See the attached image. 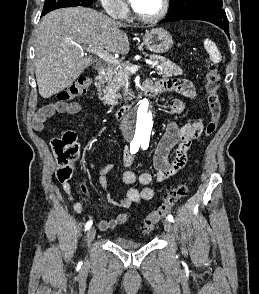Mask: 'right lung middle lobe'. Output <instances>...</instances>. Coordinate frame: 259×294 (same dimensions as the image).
<instances>
[{
	"label": "right lung middle lobe",
	"instance_id": "dd1d6c3e",
	"mask_svg": "<svg viewBox=\"0 0 259 294\" xmlns=\"http://www.w3.org/2000/svg\"><path fill=\"white\" fill-rule=\"evenodd\" d=\"M95 0H45V5L41 15L63 7L83 6L87 7Z\"/></svg>",
	"mask_w": 259,
	"mask_h": 294
}]
</instances>
